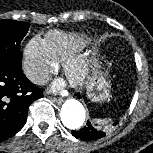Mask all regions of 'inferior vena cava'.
Segmentation results:
<instances>
[{
  "label": "inferior vena cava",
  "instance_id": "602c4592",
  "mask_svg": "<svg viewBox=\"0 0 153 153\" xmlns=\"http://www.w3.org/2000/svg\"><path fill=\"white\" fill-rule=\"evenodd\" d=\"M26 75L33 83L38 85L46 84L50 80L49 75L46 73H39L36 71H27Z\"/></svg>",
  "mask_w": 153,
  "mask_h": 153
}]
</instances>
